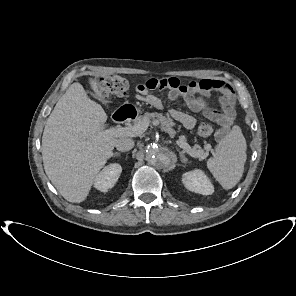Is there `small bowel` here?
Here are the masks:
<instances>
[{"mask_svg":"<svg viewBox=\"0 0 296 296\" xmlns=\"http://www.w3.org/2000/svg\"><path fill=\"white\" fill-rule=\"evenodd\" d=\"M155 89H165L172 101L182 99L190 110L204 111L206 115L218 123L217 137L223 138L229 131L235 119V96L232 87L225 81L216 79H202L182 84L177 78H150L136 87L137 99L155 108H161V100L151 93ZM218 92L220 112L208 110L206 98L212 92ZM170 115L187 129H193L196 120L190 114L173 109Z\"/></svg>","mask_w":296,"mask_h":296,"instance_id":"1","label":"small bowel"}]
</instances>
